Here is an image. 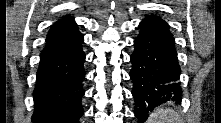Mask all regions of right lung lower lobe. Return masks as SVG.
<instances>
[{
    "label": "right lung lower lobe",
    "instance_id": "right-lung-lower-lobe-1",
    "mask_svg": "<svg viewBox=\"0 0 221 123\" xmlns=\"http://www.w3.org/2000/svg\"><path fill=\"white\" fill-rule=\"evenodd\" d=\"M84 38L79 32L47 42L40 54L34 89V123H79L85 78L82 50Z\"/></svg>",
    "mask_w": 221,
    "mask_h": 123
}]
</instances>
